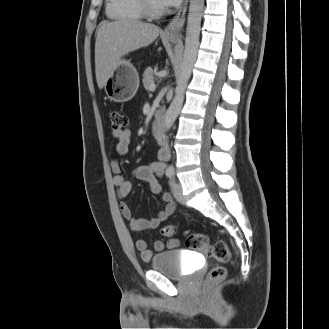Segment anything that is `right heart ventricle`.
Here are the masks:
<instances>
[{
	"label": "right heart ventricle",
	"mask_w": 329,
	"mask_h": 329,
	"mask_svg": "<svg viewBox=\"0 0 329 329\" xmlns=\"http://www.w3.org/2000/svg\"><path fill=\"white\" fill-rule=\"evenodd\" d=\"M107 14L114 19L141 21L144 13L139 0H107Z\"/></svg>",
	"instance_id": "e07e8e85"
}]
</instances>
